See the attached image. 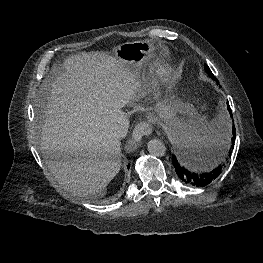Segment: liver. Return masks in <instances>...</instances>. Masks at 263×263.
Returning a JSON list of instances; mask_svg holds the SVG:
<instances>
[{
    "label": "liver",
    "mask_w": 263,
    "mask_h": 263,
    "mask_svg": "<svg viewBox=\"0 0 263 263\" xmlns=\"http://www.w3.org/2000/svg\"><path fill=\"white\" fill-rule=\"evenodd\" d=\"M64 69L42 84L50 95L41 126V151L64 189L78 196H103L121 167L120 143L111 138L109 126L126 116L121 108L146 95L147 87L133 66L107 53L72 55Z\"/></svg>",
    "instance_id": "1"
}]
</instances>
